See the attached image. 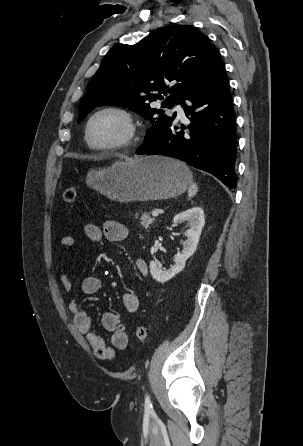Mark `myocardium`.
Returning a JSON list of instances; mask_svg holds the SVG:
<instances>
[{"label": "myocardium", "instance_id": "1", "mask_svg": "<svg viewBox=\"0 0 303 446\" xmlns=\"http://www.w3.org/2000/svg\"><path fill=\"white\" fill-rule=\"evenodd\" d=\"M103 114H113L117 116L125 126V133L118 141L114 143L97 146L90 140V127L93 121ZM138 134L139 122L134 113L127 108L114 105L104 106L93 112L88 118L84 129V137L87 145L96 151H115L127 147L137 139Z\"/></svg>", "mask_w": 303, "mask_h": 446}]
</instances>
